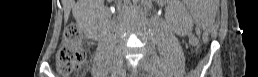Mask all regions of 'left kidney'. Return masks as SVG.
<instances>
[{
    "label": "left kidney",
    "mask_w": 258,
    "mask_h": 77,
    "mask_svg": "<svg viewBox=\"0 0 258 77\" xmlns=\"http://www.w3.org/2000/svg\"><path fill=\"white\" fill-rule=\"evenodd\" d=\"M184 20L186 21V20H187V18H186V17H184Z\"/></svg>",
    "instance_id": "obj_1"
}]
</instances>
